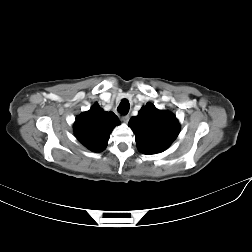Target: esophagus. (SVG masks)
<instances>
[{
  "label": "esophagus",
  "mask_w": 252,
  "mask_h": 252,
  "mask_svg": "<svg viewBox=\"0 0 252 252\" xmlns=\"http://www.w3.org/2000/svg\"><path fill=\"white\" fill-rule=\"evenodd\" d=\"M121 120L124 122V123H127L129 121V115H123Z\"/></svg>",
  "instance_id": "1"
}]
</instances>
